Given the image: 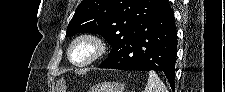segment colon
Wrapping results in <instances>:
<instances>
[{"instance_id": "obj_1", "label": "colon", "mask_w": 225, "mask_h": 92, "mask_svg": "<svg viewBox=\"0 0 225 92\" xmlns=\"http://www.w3.org/2000/svg\"><path fill=\"white\" fill-rule=\"evenodd\" d=\"M56 91L57 92H65L66 91L64 79L59 80Z\"/></svg>"}]
</instances>
